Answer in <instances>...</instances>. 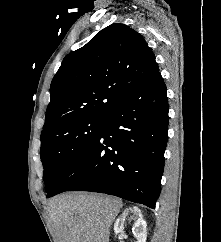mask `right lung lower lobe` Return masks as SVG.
<instances>
[{"label":"right lung lower lobe","instance_id":"98d812e1","mask_svg":"<svg viewBox=\"0 0 221 242\" xmlns=\"http://www.w3.org/2000/svg\"><path fill=\"white\" fill-rule=\"evenodd\" d=\"M168 99L160 72L103 115L97 135L74 158L50 193H105L155 208L161 191Z\"/></svg>","mask_w":221,"mask_h":242}]
</instances>
